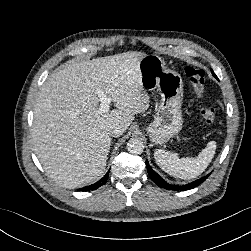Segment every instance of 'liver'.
Listing matches in <instances>:
<instances>
[{"label": "liver", "instance_id": "liver-1", "mask_svg": "<svg viewBox=\"0 0 251 251\" xmlns=\"http://www.w3.org/2000/svg\"><path fill=\"white\" fill-rule=\"evenodd\" d=\"M143 52L129 51L87 61H68L42 85L34 107L32 142L46 173L75 189L102 177L111 146L109 130L123 132L149 108L141 84ZM117 109L99 113L97 91Z\"/></svg>", "mask_w": 251, "mask_h": 251}]
</instances>
